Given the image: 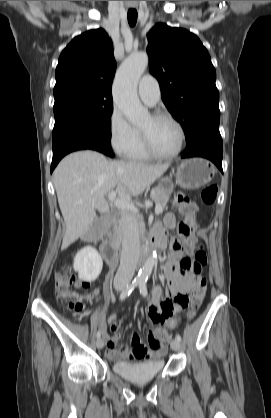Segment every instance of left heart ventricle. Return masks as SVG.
<instances>
[{
  "instance_id": "1",
  "label": "left heart ventricle",
  "mask_w": 271,
  "mask_h": 418,
  "mask_svg": "<svg viewBox=\"0 0 271 418\" xmlns=\"http://www.w3.org/2000/svg\"><path fill=\"white\" fill-rule=\"evenodd\" d=\"M141 129L149 136L152 146L162 154L174 152L180 141L177 127L167 119H153L148 117L142 124Z\"/></svg>"
}]
</instances>
